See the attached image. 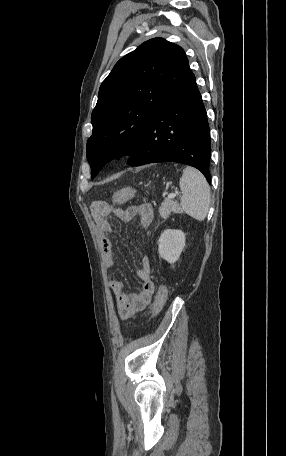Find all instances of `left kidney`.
Wrapping results in <instances>:
<instances>
[{"label":"left kidney","mask_w":286,"mask_h":456,"mask_svg":"<svg viewBox=\"0 0 286 456\" xmlns=\"http://www.w3.org/2000/svg\"><path fill=\"white\" fill-rule=\"evenodd\" d=\"M185 241V234L181 230H165L158 240L160 257L168 263H175L183 251Z\"/></svg>","instance_id":"obj_1"}]
</instances>
